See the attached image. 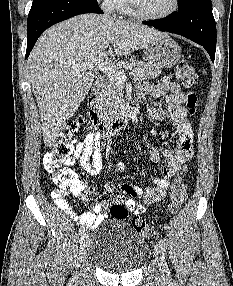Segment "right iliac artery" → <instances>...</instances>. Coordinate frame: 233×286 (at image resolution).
Returning <instances> with one entry per match:
<instances>
[{"instance_id": "right-iliac-artery-1", "label": "right iliac artery", "mask_w": 233, "mask_h": 286, "mask_svg": "<svg viewBox=\"0 0 233 286\" xmlns=\"http://www.w3.org/2000/svg\"><path fill=\"white\" fill-rule=\"evenodd\" d=\"M84 231H85V228H84V227H81V228L79 229L78 234H77L78 239H79V237H82V235L84 234Z\"/></svg>"}]
</instances>
